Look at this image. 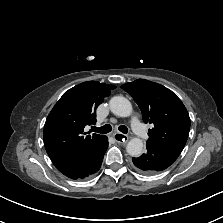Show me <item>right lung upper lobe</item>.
I'll return each instance as SVG.
<instances>
[{
	"mask_svg": "<svg viewBox=\"0 0 223 223\" xmlns=\"http://www.w3.org/2000/svg\"><path fill=\"white\" fill-rule=\"evenodd\" d=\"M114 88L97 81L83 82L55 104L44 126V144L57 169L85 157L106 138L87 135L84 128L96 123V108Z\"/></svg>",
	"mask_w": 223,
	"mask_h": 223,
	"instance_id": "right-lung-upper-lobe-1",
	"label": "right lung upper lobe"
}]
</instances>
